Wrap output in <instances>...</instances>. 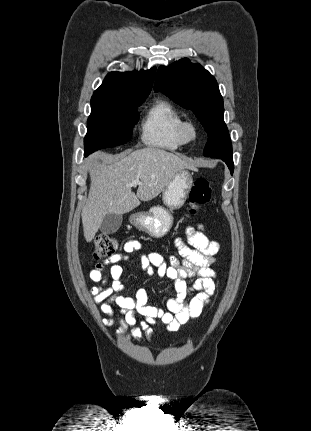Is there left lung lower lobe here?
<instances>
[{
    "label": "left lung lower lobe",
    "mask_w": 311,
    "mask_h": 431,
    "mask_svg": "<svg viewBox=\"0 0 311 431\" xmlns=\"http://www.w3.org/2000/svg\"><path fill=\"white\" fill-rule=\"evenodd\" d=\"M219 159H222L226 164H227V166H228V168L230 169V171H231V174L233 173V170H234V164H233V158H232V155H225V156H222L221 158H219Z\"/></svg>",
    "instance_id": "left-lung-lower-lobe-1"
}]
</instances>
